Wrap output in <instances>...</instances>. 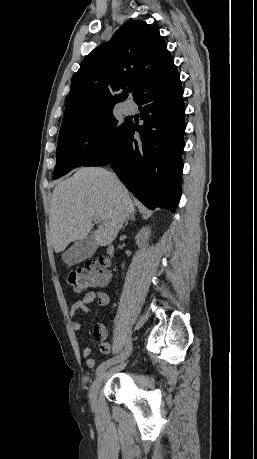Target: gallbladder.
Listing matches in <instances>:
<instances>
[{"instance_id":"1","label":"gallbladder","mask_w":257,"mask_h":459,"mask_svg":"<svg viewBox=\"0 0 257 459\" xmlns=\"http://www.w3.org/2000/svg\"><path fill=\"white\" fill-rule=\"evenodd\" d=\"M97 249L94 234H88L62 254V260L69 266L90 258Z\"/></svg>"}]
</instances>
